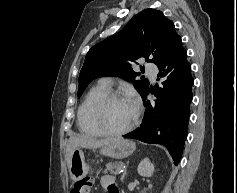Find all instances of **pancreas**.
<instances>
[{"label":"pancreas","instance_id":"cf45deb5","mask_svg":"<svg viewBox=\"0 0 237 193\" xmlns=\"http://www.w3.org/2000/svg\"><path fill=\"white\" fill-rule=\"evenodd\" d=\"M122 167V162H109L108 164H106V169L104 170V173L110 172L111 174L117 175L122 169Z\"/></svg>","mask_w":237,"mask_h":193}]
</instances>
